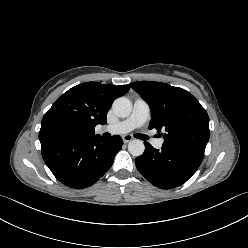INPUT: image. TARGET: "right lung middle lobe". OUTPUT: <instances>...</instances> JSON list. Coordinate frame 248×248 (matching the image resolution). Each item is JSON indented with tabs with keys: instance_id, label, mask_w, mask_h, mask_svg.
<instances>
[{
	"instance_id": "dd1d6c3e",
	"label": "right lung middle lobe",
	"mask_w": 248,
	"mask_h": 248,
	"mask_svg": "<svg viewBox=\"0 0 248 248\" xmlns=\"http://www.w3.org/2000/svg\"><path fill=\"white\" fill-rule=\"evenodd\" d=\"M44 136L48 140L69 139L71 137V130L66 124L57 122L48 128Z\"/></svg>"
}]
</instances>
